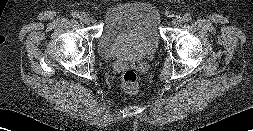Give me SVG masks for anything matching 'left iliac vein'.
<instances>
[{"instance_id": "4c4485c4", "label": "left iliac vein", "mask_w": 253, "mask_h": 131, "mask_svg": "<svg viewBox=\"0 0 253 131\" xmlns=\"http://www.w3.org/2000/svg\"><path fill=\"white\" fill-rule=\"evenodd\" d=\"M181 22H182V19L179 18V17H177V18L173 19L172 24H173L174 26H177V25H179Z\"/></svg>"}]
</instances>
